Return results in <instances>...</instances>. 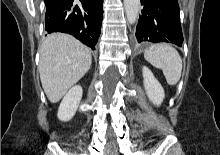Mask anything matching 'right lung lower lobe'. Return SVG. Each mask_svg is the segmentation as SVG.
<instances>
[{"label": "right lung lower lobe", "instance_id": "98d812e1", "mask_svg": "<svg viewBox=\"0 0 220 155\" xmlns=\"http://www.w3.org/2000/svg\"><path fill=\"white\" fill-rule=\"evenodd\" d=\"M45 0V30L63 32L95 49L101 32L103 0Z\"/></svg>", "mask_w": 220, "mask_h": 155}]
</instances>
